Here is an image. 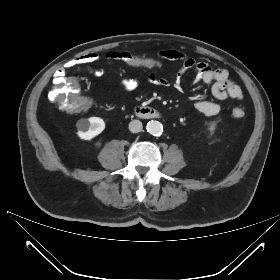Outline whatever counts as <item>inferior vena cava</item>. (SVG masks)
Here are the masks:
<instances>
[{"label": "inferior vena cava", "instance_id": "602c4592", "mask_svg": "<svg viewBox=\"0 0 280 280\" xmlns=\"http://www.w3.org/2000/svg\"><path fill=\"white\" fill-rule=\"evenodd\" d=\"M142 128H143L142 122L139 120H133L129 123V130L132 133H138L142 130Z\"/></svg>", "mask_w": 280, "mask_h": 280}]
</instances>
